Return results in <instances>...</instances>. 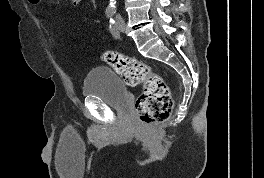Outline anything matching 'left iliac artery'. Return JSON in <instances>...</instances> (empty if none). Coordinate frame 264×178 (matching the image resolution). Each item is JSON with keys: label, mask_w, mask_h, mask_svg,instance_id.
I'll return each instance as SVG.
<instances>
[{"label": "left iliac artery", "mask_w": 264, "mask_h": 178, "mask_svg": "<svg viewBox=\"0 0 264 178\" xmlns=\"http://www.w3.org/2000/svg\"><path fill=\"white\" fill-rule=\"evenodd\" d=\"M110 32L113 35V37L117 38L119 37V32L117 30L116 24H115V20L114 19H110V26H109Z\"/></svg>", "instance_id": "44dca946"}]
</instances>
